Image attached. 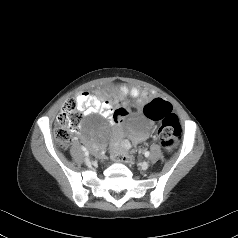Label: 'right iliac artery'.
I'll list each match as a JSON object with an SVG mask.
<instances>
[{
  "instance_id": "1",
  "label": "right iliac artery",
  "mask_w": 238,
  "mask_h": 238,
  "mask_svg": "<svg viewBox=\"0 0 238 238\" xmlns=\"http://www.w3.org/2000/svg\"><path fill=\"white\" fill-rule=\"evenodd\" d=\"M81 149L85 152L86 155L88 154V151L84 146H82Z\"/></svg>"
}]
</instances>
